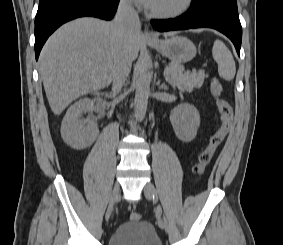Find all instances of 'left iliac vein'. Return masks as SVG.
Returning <instances> with one entry per match:
<instances>
[{
  "mask_svg": "<svg viewBox=\"0 0 283 245\" xmlns=\"http://www.w3.org/2000/svg\"><path fill=\"white\" fill-rule=\"evenodd\" d=\"M143 192H144L145 197L149 200L154 198V196L156 195V189L151 182H148L145 184L143 188ZM159 227L168 231V226L164 223V221H163V224L159 225Z\"/></svg>",
  "mask_w": 283,
  "mask_h": 245,
  "instance_id": "left-iliac-vein-1",
  "label": "left iliac vein"
}]
</instances>
